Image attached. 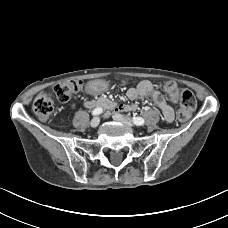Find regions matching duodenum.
Listing matches in <instances>:
<instances>
[{"mask_svg": "<svg viewBox=\"0 0 228 228\" xmlns=\"http://www.w3.org/2000/svg\"><path fill=\"white\" fill-rule=\"evenodd\" d=\"M104 104L106 105V106H108V107H113V106H115L116 104L115 103H113L112 101H110V100H104Z\"/></svg>", "mask_w": 228, "mask_h": 228, "instance_id": "410a0bca", "label": "duodenum"}]
</instances>
